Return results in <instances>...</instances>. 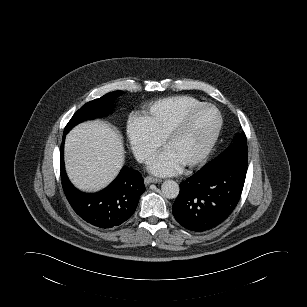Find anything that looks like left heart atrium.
<instances>
[{
	"mask_svg": "<svg viewBox=\"0 0 307 307\" xmlns=\"http://www.w3.org/2000/svg\"><path fill=\"white\" fill-rule=\"evenodd\" d=\"M183 164L168 150H163L149 164L152 173L160 176L178 173Z\"/></svg>",
	"mask_w": 307,
	"mask_h": 307,
	"instance_id": "1",
	"label": "left heart atrium"
}]
</instances>
